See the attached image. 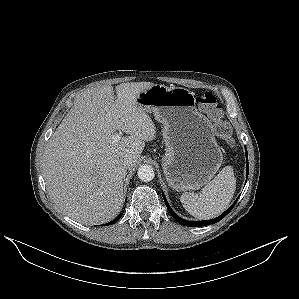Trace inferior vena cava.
<instances>
[{
	"label": "inferior vena cava",
	"instance_id": "1",
	"mask_svg": "<svg viewBox=\"0 0 299 299\" xmlns=\"http://www.w3.org/2000/svg\"><path fill=\"white\" fill-rule=\"evenodd\" d=\"M132 164V159L130 157H125L121 161V165L123 168L128 169Z\"/></svg>",
	"mask_w": 299,
	"mask_h": 299
}]
</instances>
